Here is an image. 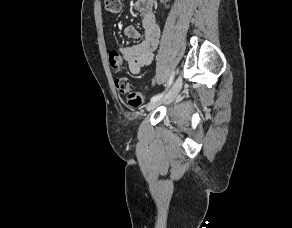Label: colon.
Wrapping results in <instances>:
<instances>
[{
  "label": "colon",
  "instance_id": "obj_1",
  "mask_svg": "<svg viewBox=\"0 0 292 228\" xmlns=\"http://www.w3.org/2000/svg\"><path fill=\"white\" fill-rule=\"evenodd\" d=\"M105 11L107 14H117L121 9V0H104ZM110 66L114 71H119L122 67V61L117 53L110 52ZM117 90L126 96V103L132 108H138L143 104L144 98L140 92L130 89L129 83L125 78L116 80Z\"/></svg>",
  "mask_w": 292,
  "mask_h": 228
}]
</instances>
